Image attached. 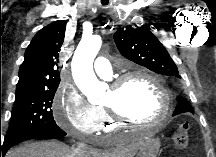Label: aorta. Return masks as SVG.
I'll return each mask as SVG.
<instances>
[{
  "label": "aorta",
  "instance_id": "aorta-1",
  "mask_svg": "<svg viewBox=\"0 0 216 157\" xmlns=\"http://www.w3.org/2000/svg\"><path fill=\"white\" fill-rule=\"evenodd\" d=\"M101 38H83L77 46L72 59V75L77 87L86 95L90 103H99L105 94V86L94 71L93 61L101 48Z\"/></svg>",
  "mask_w": 216,
  "mask_h": 157
}]
</instances>
